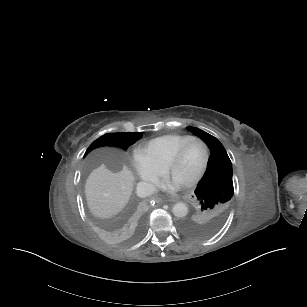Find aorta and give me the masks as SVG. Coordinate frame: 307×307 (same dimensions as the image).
<instances>
[{"label": "aorta", "mask_w": 307, "mask_h": 307, "mask_svg": "<svg viewBox=\"0 0 307 307\" xmlns=\"http://www.w3.org/2000/svg\"><path fill=\"white\" fill-rule=\"evenodd\" d=\"M172 212L174 214V216L182 218L185 217L188 213V208L186 206L185 203L183 202H178L176 203L173 208H172Z\"/></svg>", "instance_id": "1"}]
</instances>
